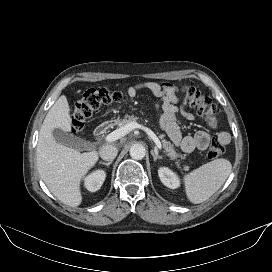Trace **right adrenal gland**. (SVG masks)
Instances as JSON below:
<instances>
[{
    "label": "right adrenal gland",
    "mask_w": 272,
    "mask_h": 272,
    "mask_svg": "<svg viewBox=\"0 0 272 272\" xmlns=\"http://www.w3.org/2000/svg\"><path fill=\"white\" fill-rule=\"evenodd\" d=\"M99 164H103V165H105V166L108 167L109 165L112 164V161H109V162H102V161H100Z\"/></svg>",
    "instance_id": "2a0ac1e0"
}]
</instances>
